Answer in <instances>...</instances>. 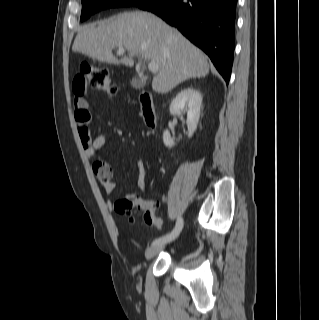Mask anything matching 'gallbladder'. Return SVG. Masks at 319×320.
Listing matches in <instances>:
<instances>
[{"instance_id":"1","label":"gallbladder","mask_w":319,"mask_h":320,"mask_svg":"<svg viewBox=\"0 0 319 320\" xmlns=\"http://www.w3.org/2000/svg\"><path fill=\"white\" fill-rule=\"evenodd\" d=\"M146 81L144 79H140V78H133L132 79V86L136 89H141L144 87Z\"/></svg>"}]
</instances>
